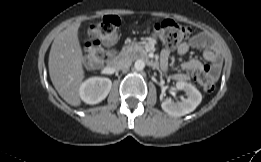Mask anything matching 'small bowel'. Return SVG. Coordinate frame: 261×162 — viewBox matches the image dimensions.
Returning a JSON list of instances; mask_svg holds the SVG:
<instances>
[{"mask_svg":"<svg viewBox=\"0 0 261 162\" xmlns=\"http://www.w3.org/2000/svg\"><path fill=\"white\" fill-rule=\"evenodd\" d=\"M207 41V36L203 33H198L195 36L192 37V44L196 45V46H204V44ZM189 43H181L178 47H177V53L179 55H185L188 50H189ZM163 58L168 56V50H164L162 53ZM203 57L205 60H207L208 62H210L212 64L211 69L208 70L205 68V66L196 59H191L188 60L186 62H184L182 64V67L184 70L187 71H202V70H207L210 72V74H212L214 77L217 76L220 72V68H221V59H220V55L218 53L217 50L215 49H206L203 51ZM176 79H181L182 76L181 75H176L175 76Z\"/></svg>","mask_w":261,"mask_h":162,"instance_id":"1","label":"small bowel"}]
</instances>
